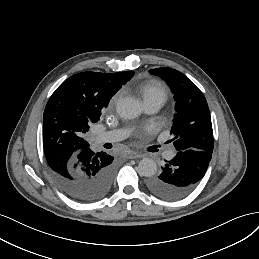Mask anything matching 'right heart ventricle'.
I'll use <instances>...</instances> for the list:
<instances>
[{
    "mask_svg": "<svg viewBox=\"0 0 259 259\" xmlns=\"http://www.w3.org/2000/svg\"><path fill=\"white\" fill-rule=\"evenodd\" d=\"M135 89L137 92L141 93L143 101L161 98L165 102V100L167 99L166 88L158 82H152L148 86H145L142 82H140L139 84H137Z\"/></svg>",
    "mask_w": 259,
    "mask_h": 259,
    "instance_id": "e07e8e85",
    "label": "right heart ventricle"
}]
</instances>
